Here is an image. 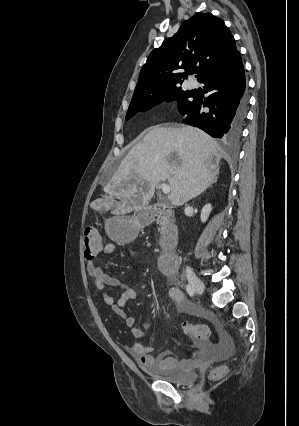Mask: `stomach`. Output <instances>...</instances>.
Here are the masks:
<instances>
[{
    "label": "stomach",
    "mask_w": 299,
    "mask_h": 426,
    "mask_svg": "<svg viewBox=\"0 0 299 426\" xmlns=\"http://www.w3.org/2000/svg\"><path fill=\"white\" fill-rule=\"evenodd\" d=\"M105 231L116 242H129L136 236L137 223L131 218L115 216L105 220Z\"/></svg>",
    "instance_id": "1"
}]
</instances>
